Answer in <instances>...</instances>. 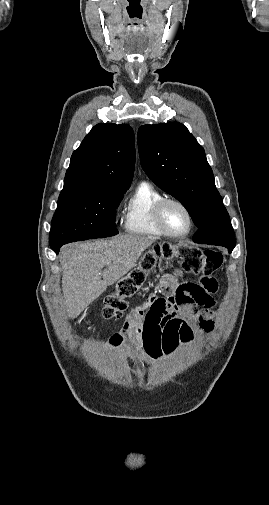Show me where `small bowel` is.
I'll return each mask as SVG.
<instances>
[{
    "mask_svg": "<svg viewBox=\"0 0 269 505\" xmlns=\"http://www.w3.org/2000/svg\"><path fill=\"white\" fill-rule=\"evenodd\" d=\"M185 276L199 283H179L174 281L176 275L167 273L160 285L163 289L152 290L150 298H143L142 307L128 314L127 328L112 336L109 346L115 348L125 341L132 358L158 360L174 353L179 345L201 341L205 333H212L215 302L211 295L218 288L216 271Z\"/></svg>",
    "mask_w": 269,
    "mask_h": 505,
    "instance_id": "1",
    "label": "small bowel"
}]
</instances>
